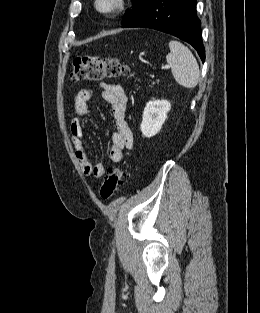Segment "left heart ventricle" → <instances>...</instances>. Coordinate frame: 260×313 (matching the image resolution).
<instances>
[{
  "instance_id": "left-heart-ventricle-1",
  "label": "left heart ventricle",
  "mask_w": 260,
  "mask_h": 313,
  "mask_svg": "<svg viewBox=\"0 0 260 313\" xmlns=\"http://www.w3.org/2000/svg\"><path fill=\"white\" fill-rule=\"evenodd\" d=\"M111 1H112V0H101V4H100V5H101V7L104 8V9H105V8H108V7L111 5Z\"/></svg>"
}]
</instances>
